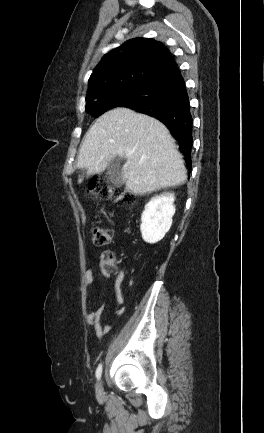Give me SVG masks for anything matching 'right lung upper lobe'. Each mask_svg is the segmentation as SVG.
Listing matches in <instances>:
<instances>
[{
	"mask_svg": "<svg viewBox=\"0 0 264 433\" xmlns=\"http://www.w3.org/2000/svg\"><path fill=\"white\" fill-rule=\"evenodd\" d=\"M170 57V51L154 39L129 40L104 55L95 67L89 79L86 99L140 85Z\"/></svg>",
	"mask_w": 264,
	"mask_h": 433,
	"instance_id": "1",
	"label": "right lung upper lobe"
}]
</instances>
